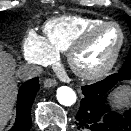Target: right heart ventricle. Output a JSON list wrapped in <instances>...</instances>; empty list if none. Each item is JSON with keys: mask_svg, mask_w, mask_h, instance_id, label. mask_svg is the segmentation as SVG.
Returning <instances> with one entry per match:
<instances>
[{"mask_svg": "<svg viewBox=\"0 0 131 131\" xmlns=\"http://www.w3.org/2000/svg\"><path fill=\"white\" fill-rule=\"evenodd\" d=\"M100 22V18L80 15L52 18L43 26L44 39L56 54L66 52L85 30Z\"/></svg>", "mask_w": 131, "mask_h": 131, "instance_id": "obj_1", "label": "right heart ventricle"}]
</instances>
